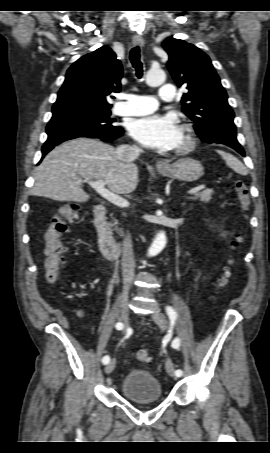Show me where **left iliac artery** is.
<instances>
[{"label": "left iliac artery", "mask_w": 270, "mask_h": 453, "mask_svg": "<svg viewBox=\"0 0 270 453\" xmlns=\"http://www.w3.org/2000/svg\"><path fill=\"white\" fill-rule=\"evenodd\" d=\"M167 314H168V316H169L171 322L173 323L174 320L176 319L177 314H176V312L172 309V307H167ZM179 346H180V340H179L178 338H175V339L173 340V342H172V347L176 349V348H178ZM182 373H183V372H182V370H180V369H178V370L175 371V375L178 376V377H180V376L182 375Z\"/></svg>", "instance_id": "left-iliac-artery-1"}]
</instances>
